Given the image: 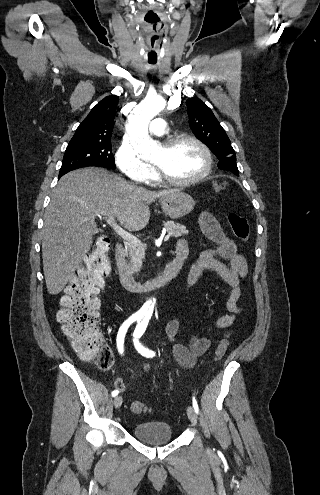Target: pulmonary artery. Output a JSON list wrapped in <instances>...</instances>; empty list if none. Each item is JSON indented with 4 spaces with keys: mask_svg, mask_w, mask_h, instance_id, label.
Segmentation results:
<instances>
[{
    "mask_svg": "<svg viewBox=\"0 0 320 495\" xmlns=\"http://www.w3.org/2000/svg\"><path fill=\"white\" fill-rule=\"evenodd\" d=\"M149 131L151 134L156 136H162L166 133V122L162 118L154 119L149 127Z\"/></svg>",
    "mask_w": 320,
    "mask_h": 495,
    "instance_id": "pulmonary-artery-1",
    "label": "pulmonary artery"
}]
</instances>
